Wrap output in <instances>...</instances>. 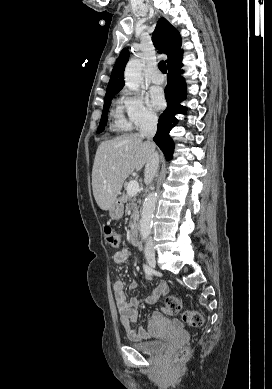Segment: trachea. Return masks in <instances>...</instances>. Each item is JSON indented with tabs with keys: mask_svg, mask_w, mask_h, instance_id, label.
Masks as SVG:
<instances>
[{
	"mask_svg": "<svg viewBox=\"0 0 272 389\" xmlns=\"http://www.w3.org/2000/svg\"><path fill=\"white\" fill-rule=\"evenodd\" d=\"M158 67L160 69V71L164 74L167 73V67H166V62L164 61H160L159 64H158Z\"/></svg>",
	"mask_w": 272,
	"mask_h": 389,
	"instance_id": "1",
	"label": "trachea"
}]
</instances>
